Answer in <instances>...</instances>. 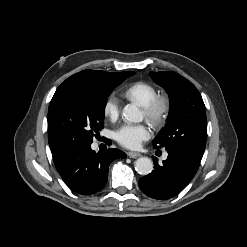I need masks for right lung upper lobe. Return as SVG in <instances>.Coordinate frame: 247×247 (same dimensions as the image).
<instances>
[{"instance_id": "cb5924a9", "label": "right lung upper lobe", "mask_w": 247, "mask_h": 247, "mask_svg": "<svg viewBox=\"0 0 247 247\" xmlns=\"http://www.w3.org/2000/svg\"><path fill=\"white\" fill-rule=\"evenodd\" d=\"M122 73H111V72H104V71H98V70H84L82 72H79L77 74L72 75L67 80H88L95 83H102L114 80L118 77H120ZM52 151V150H51ZM61 153L52 151L53 158L57 157Z\"/></svg>"}]
</instances>
